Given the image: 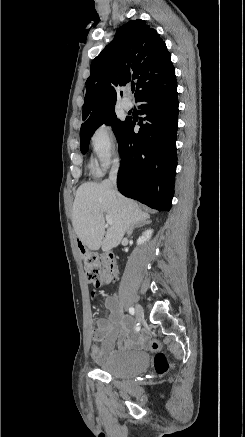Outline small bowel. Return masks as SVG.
Here are the masks:
<instances>
[{
  "instance_id": "c3829d8e",
  "label": "small bowel",
  "mask_w": 245,
  "mask_h": 437,
  "mask_svg": "<svg viewBox=\"0 0 245 437\" xmlns=\"http://www.w3.org/2000/svg\"><path fill=\"white\" fill-rule=\"evenodd\" d=\"M105 305L110 310L109 319L98 321L92 333V356L101 362L113 356L117 349L115 342L118 338L123 340L119 349L142 346L145 338L140 337L133 329L132 321L120 312L119 301L116 296H107Z\"/></svg>"
}]
</instances>
